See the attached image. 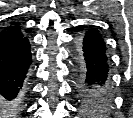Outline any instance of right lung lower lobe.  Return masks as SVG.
<instances>
[{
    "mask_svg": "<svg viewBox=\"0 0 133 118\" xmlns=\"http://www.w3.org/2000/svg\"><path fill=\"white\" fill-rule=\"evenodd\" d=\"M31 62L27 37L0 51V115L12 116L18 111Z\"/></svg>",
    "mask_w": 133,
    "mask_h": 118,
    "instance_id": "98d812e1",
    "label": "right lung lower lobe"
}]
</instances>
